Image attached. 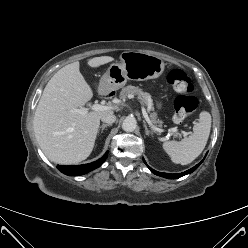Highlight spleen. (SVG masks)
Here are the masks:
<instances>
[{
  "mask_svg": "<svg viewBox=\"0 0 248 248\" xmlns=\"http://www.w3.org/2000/svg\"><path fill=\"white\" fill-rule=\"evenodd\" d=\"M211 129V115L207 111L199 114L198 120L194 123L191 136L181 141H167L163 148L170 156L172 162L187 165L194 161L204 150Z\"/></svg>",
  "mask_w": 248,
  "mask_h": 248,
  "instance_id": "obj_1",
  "label": "spleen"
}]
</instances>
